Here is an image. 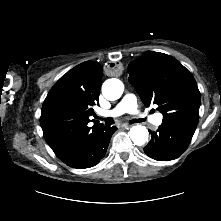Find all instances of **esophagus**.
<instances>
[{"label":"esophagus","mask_w":221,"mask_h":221,"mask_svg":"<svg viewBox=\"0 0 221 221\" xmlns=\"http://www.w3.org/2000/svg\"><path fill=\"white\" fill-rule=\"evenodd\" d=\"M123 127H124L125 129H129V128H130V125H128V124H123Z\"/></svg>","instance_id":"34e87169"}]
</instances>
